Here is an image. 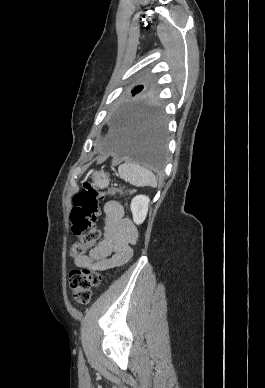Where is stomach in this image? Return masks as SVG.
<instances>
[{"label":"stomach","instance_id":"obj_1","mask_svg":"<svg viewBox=\"0 0 265 388\" xmlns=\"http://www.w3.org/2000/svg\"><path fill=\"white\" fill-rule=\"evenodd\" d=\"M92 179L96 188L103 189L109 184V177L104 171L94 173Z\"/></svg>","mask_w":265,"mask_h":388}]
</instances>
